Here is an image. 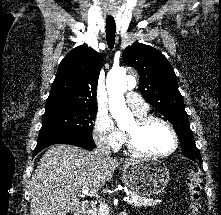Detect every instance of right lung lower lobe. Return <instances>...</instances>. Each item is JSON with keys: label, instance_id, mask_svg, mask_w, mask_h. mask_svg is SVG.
I'll use <instances>...</instances> for the list:
<instances>
[{"label": "right lung lower lobe", "instance_id": "1", "mask_svg": "<svg viewBox=\"0 0 221 215\" xmlns=\"http://www.w3.org/2000/svg\"><path fill=\"white\" fill-rule=\"evenodd\" d=\"M58 143L72 144L87 150H92L95 148V143L91 134H80L69 137H58L53 139L40 140L37 142V146L33 151V156L38 154L44 148Z\"/></svg>", "mask_w": 221, "mask_h": 215}]
</instances>
